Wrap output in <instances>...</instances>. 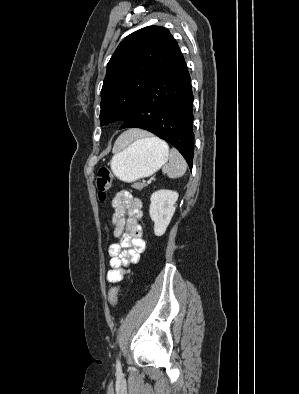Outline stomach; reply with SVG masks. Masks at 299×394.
<instances>
[{
    "label": "stomach",
    "mask_w": 299,
    "mask_h": 394,
    "mask_svg": "<svg viewBox=\"0 0 299 394\" xmlns=\"http://www.w3.org/2000/svg\"><path fill=\"white\" fill-rule=\"evenodd\" d=\"M168 156V148L138 139L114 155L111 169L118 179L131 183L155 173L167 162Z\"/></svg>",
    "instance_id": "1"
}]
</instances>
